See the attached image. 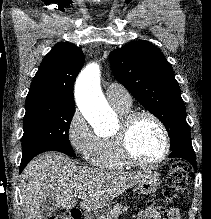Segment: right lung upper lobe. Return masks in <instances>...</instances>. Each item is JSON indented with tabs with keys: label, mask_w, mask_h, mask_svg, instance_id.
<instances>
[{
	"label": "right lung upper lobe",
	"mask_w": 211,
	"mask_h": 219,
	"mask_svg": "<svg viewBox=\"0 0 211 219\" xmlns=\"http://www.w3.org/2000/svg\"><path fill=\"white\" fill-rule=\"evenodd\" d=\"M85 62L82 50L68 42L57 43L44 57L33 78L26 103L48 101L75 107L73 85Z\"/></svg>",
	"instance_id": "right-lung-upper-lobe-1"
}]
</instances>
